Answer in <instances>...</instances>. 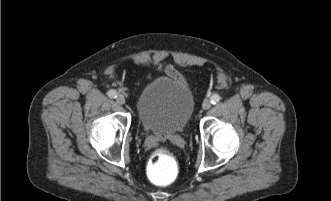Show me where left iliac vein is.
<instances>
[{"label": "left iliac vein", "mask_w": 331, "mask_h": 201, "mask_svg": "<svg viewBox=\"0 0 331 201\" xmlns=\"http://www.w3.org/2000/svg\"><path fill=\"white\" fill-rule=\"evenodd\" d=\"M202 108L204 110H208L211 108V102L209 100H204L203 104H202Z\"/></svg>", "instance_id": "1"}]
</instances>
